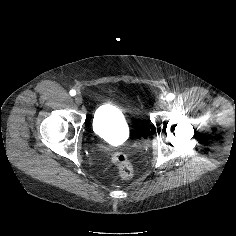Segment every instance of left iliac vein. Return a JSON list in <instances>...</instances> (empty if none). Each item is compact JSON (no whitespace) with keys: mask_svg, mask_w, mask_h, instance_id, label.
Masks as SVG:
<instances>
[{"mask_svg":"<svg viewBox=\"0 0 236 236\" xmlns=\"http://www.w3.org/2000/svg\"><path fill=\"white\" fill-rule=\"evenodd\" d=\"M167 104H168V100H166V99H160V100L157 102L155 108H156V109L164 108V107L167 106Z\"/></svg>","mask_w":236,"mask_h":236,"instance_id":"1","label":"left iliac vein"}]
</instances>
